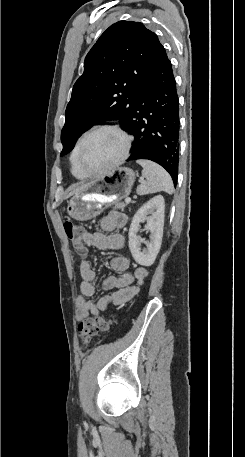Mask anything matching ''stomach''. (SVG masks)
Instances as JSON below:
<instances>
[{
    "mask_svg": "<svg viewBox=\"0 0 245 457\" xmlns=\"http://www.w3.org/2000/svg\"><path fill=\"white\" fill-rule=\"evenodd\" d=\"M135 178L134 170L128 166H119L96 178L70 198L67 206L69 216L76 220L95 218L106 206L128 196Z\"/></svg>",
    "mask_w": 245,
    "mask_h": 457,
    "instance_id": "1",
    "label": "stomach"
}]
</instances>
